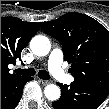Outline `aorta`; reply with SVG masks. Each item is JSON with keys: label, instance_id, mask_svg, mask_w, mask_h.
I'll list each match as a JSON object with an SVG mask.
<instances>
[{"label": "aorta", "instance_id": "aorta-1", "mask_svg": "<svg viewBox=\"0 0 109 109\" xmlns=\"http://www.w3.org/2000/svg\"><path fill=\"white\" fill-rule=\"evenodd\" d=\"M30 48L35 55L46 56L51 49V43L46 36L37 35L31 39ZM44 93L48 100L56 101L60 98L61 90L57 85L49 84L45 87Z\"/></svg>", "mask_w": 109, "mask_h": 109}]
</instances>
